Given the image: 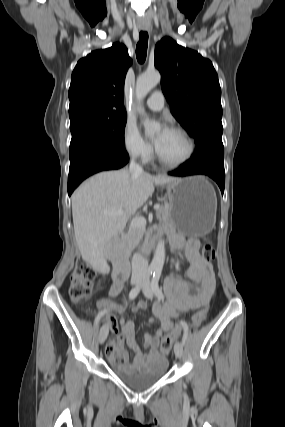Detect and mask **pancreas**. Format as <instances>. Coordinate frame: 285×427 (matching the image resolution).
I'll use <instances>...</instances> for the list:
<instances>
[{
  "label": "pancreas",
  "mask_w": 285,
  "mask_h": 427,
  "mask_svg": "<svg viewBox=\"0 0 285 427\" xmlns=\"http://www.w3.org/2000/svg\"><path fill=\"white\" fill-rule=\"evenodd\" d=\"M157 218L162 222H168L170 218L169 205H161L160 208L156 211ZM146 232L145 226L134 227L131 226L125 238V245L133 250L141 239L143 238L144 233Z\"/></svg>",
  "instance_id": "obj_1"
}]
</instances>
